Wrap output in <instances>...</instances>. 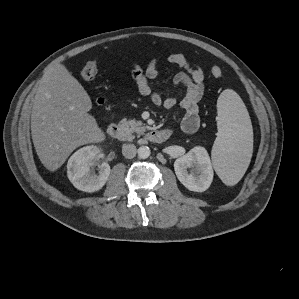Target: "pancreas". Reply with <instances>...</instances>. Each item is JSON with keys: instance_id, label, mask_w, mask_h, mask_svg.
I'll list each match as a JSON object with an SVG mask.
<instances>
[{"instance_id": "obj_1", "label": "pancreas", "mask_w": 299, "mask_h": 299, "mask_svg": "<svg viewBox=\"0 0 299 299\" xmlns=\"http://www.w3.org/2000/svg\"><path fill=\"white\" fill-rule=\"evenodd\" d=\"M119 125L129 134L132 135L134 133L137 134V136L143 135L146 131V126L143 125L141 121H136L135 119H122L119 122Z\"/></svg>"}]
</instances>
